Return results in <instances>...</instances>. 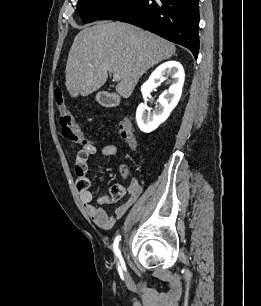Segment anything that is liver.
Here are the masks:
<instances>
[{"instance_id": "liver-1", "label": "liver", "mask_w": 261, "mask_h": 306, "mask_svg": "<svg viewBox=\"0 0 261 306\" xmlns=\"http://www.w3.org/2000/svg\"><path fill=\"white\" fill-rule=\"evenodd\" d=\"M175 51L172 43L139 27L101 22L82 29L75 37L65 85L71 97L87 96L106 83L108 73H117L121 79L116 92L128 98L139 78Z\"/></svg>"}]
</instances>
